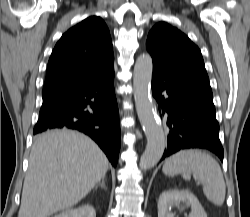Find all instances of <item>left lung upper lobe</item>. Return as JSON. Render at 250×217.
I'll use <instances>...</instances> for the list:
<instances>
[{
  "instance_id": "5c2ea615",
  "label": "left lung upper lobe",
  "mask_w": 250,
  "mask_h": 217,
  "mask_svg": "<svg viewBox=\"0 0 250 217\" xmlns=\"http://www.w3.org/2000/svg\"><path fill=\"white\" fill-rule=\"evenodd\" d=\"M146 48L157 65L207 75L199 48L184 33L165 22L151 29Z\"/></svg>"
}]
</instances>
